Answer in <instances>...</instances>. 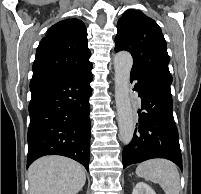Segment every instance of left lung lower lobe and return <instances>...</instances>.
<instances>
[{"label":"left lung lower lobe","mask_w":201,"mask_h":194,"mask_svg":"<svg viewBox=\"0 0 201 194\" xmlns=\"http://www.w3.org/2000/svg\"><path fill=\"white\" fill-rule=\"evenodd\" d=\"M131 83L141 99L139 123L132 141L123 150V168L152 158H165L182 169L178 130L173 118L171 83L131 72ZM142 112V114H140Z\"/></svg>","instance_id":"0a47b994"}]
</instances>
